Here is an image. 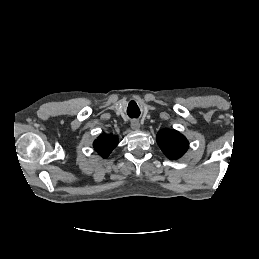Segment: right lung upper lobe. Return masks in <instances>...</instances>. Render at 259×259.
<instances>
[{
  "instance_id": "1",
  "label": "right lung upper lobe",
  "mask_w": 259,
  "mask_h": 259,
  "mask_svg": "<svg viewBox=\"0 0 259 259\" xmlns=\"http://www.w3.org/2000/svg\"><path fill=\"white\" fill-rule=\"evenodd\" d=\"M118 144V138L112 134H102L93 143L95 150L106 158Z\"/></svg>"
}]
</instances>
